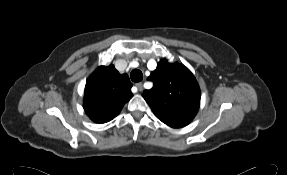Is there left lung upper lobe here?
<instances>
[{
	"mask_svg": "<svg viewBox=\"0 0 287 175\" xmlns=\"http://www.w3.org/2000/svg\"><path fill=\"white\" fill-rule=\"evenodd\" d=\"M154 82L151 90L142 94L155 116L173 128L188 125L200 106L199 85L183 64L161 60L147 78Z\"/></svg>",
	"mask_w": 287,
	"mask_h": 175,
	"instance_id": "left-lung-upper-lobe-1",
	"label": "left lung upper lobe"
}]
</instances>
